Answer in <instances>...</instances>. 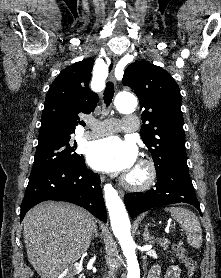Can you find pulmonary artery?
Returning a JSON list of instances; mask_svg holds the SVG:
<instances>
[{
    "label": "pulmonary artery",
    "mask_w": 221,
    "mask_h": 278,
    "mask_svg": "<svg viewBox=\"0 0 221 278\" xmlns=\"http://www.w3.org/2000/svg\"><path fill=\"white\" fill-rule=\"evenodd\" d=\"M137 122V118L132 115L125 116L123 120L108 119L102 122L90 121L88 125L91 130L86 132L85 135L88 138H96L117 132L120 129L125 131H133L136 129Z\"/></svg>",
    "instance_id": "obj_1"
}]
</instances>
